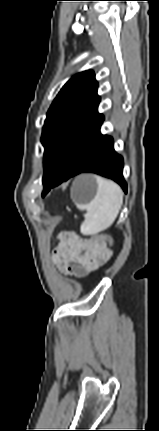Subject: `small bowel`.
<instances>
[{"instance_id": "c3829d8e", "label": "small bowel", "mask_w": 159, "mask_h": 431, "mask_svg": "<svg viewBox=\"0 0 159 431\" xmlns=\"http://www.w3.org/2000/svg\"><path fill=\"white\" fill-rule=\"evenodd\" d=\"M112 250L107 240L83 239L75 232L63 231L58 235L54 251V262L65 275L83 278L104 265Z\"/></svg>"}]
</instances>
